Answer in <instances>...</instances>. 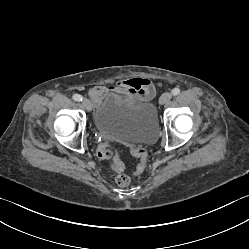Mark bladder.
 <instances>
[{
    "instance_id": "obj_1",
    "label": "bladder",
    "mask_w": 249,
    "mask_h": 249,
    "mask_svg": "<svg viewBox=\"0 0 249 249\" xmlns=\"http://www.w3.org/2000/svg\"><path fill=\"white\" fill-rule=\"evenodd\" d=\"M98 130L130 144H150L158 134L157 113L149 100L109 92L94 115Z\"/></svg>"
}]
</instances>
